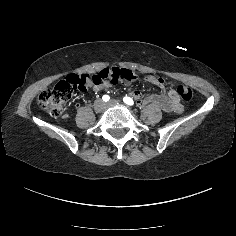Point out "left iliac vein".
I'll return each mask as SVG.
<instances>
[{
    "label": "left iliac vein",
    "instance_id": "obj_1",
    "mask_svg": "<svg viewBox=\"0 0 236 236\" xmlns=\"http://www.w3.org/2000/svg\"><path fill=\"white\" fill-rule=\"evenodd\" d=\"M121 101L119 100H111L107 103V105H120Z\"/></svg>",
    "mask_w": 236,
    "mask_h": 236
}]
</instances>
